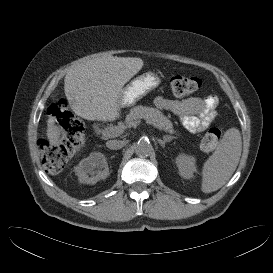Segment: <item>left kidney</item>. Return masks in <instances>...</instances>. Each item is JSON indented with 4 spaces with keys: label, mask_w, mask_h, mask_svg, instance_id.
Here are the masks:
<instances>
[{
    "label": "left kidney",
    "mask_w": 273,
    "mask_h": 273,
    "mask_svg": "<svg viewBox=\"0 0 273 273\" xmlns=\"http://www.w3.org/2000/svg\"><path fill=\"white\" fill-rule=\"evenodd\" d=\"M176 165L179 169V175L184 179L192 178L193 173L196 171V160L193 156L186 154L178 155Z\"/></svg>",
    "instance_id": "left-kidney-1"
}]
</instances>
